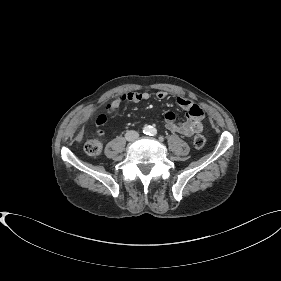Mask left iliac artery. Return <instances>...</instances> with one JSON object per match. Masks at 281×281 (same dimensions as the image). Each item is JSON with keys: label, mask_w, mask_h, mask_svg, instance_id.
I'll list each match as a JSON object with an SVG mask.
<instances>
[{"label": "left iliac artery", "mask_w": 281, "mask_h": 281, "mask_svg": "<svg viewBox=\"0 0 281 281\" xmlns=\"http://www.w3.org/2000/svg\"><path fill=\"white\" fill-rule=\"evenodd\" d=\"M157 134V130L155 128L151 129L150 135L155 136Z\"/></svg>", "instance_id": "44dca946"}]
</instances>
